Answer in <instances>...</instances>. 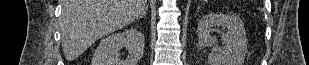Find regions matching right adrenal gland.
Returning a JSON list of instances; mask_svg holds the SVG:
<instances>
[{"label":"right adrenal gland","instance_id":"2a0ac1e0","mask_svg":"<svg viewBox=\"0 0 309 65\" xmlns=\"http://www.w3.org/2000/svg\"><path fill=\"white\" fill-rule=\"evenodd\" d=\"M147 10H148V7L146 6L145 9L143 10L142 14L139 16L138 19H142L143 17H146Z\"/></svg>","mask_w":309,"mask_h":65}]
</instances>
